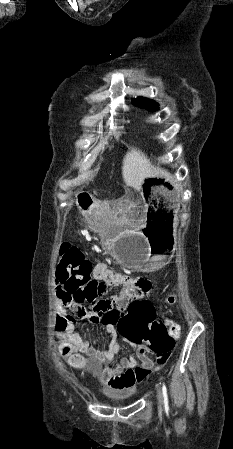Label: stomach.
Listing matches in <instances>:
<instances>
[{
	"label": "stomach",
	"instance_id": "0dacf381",
	"mask_svg": "<svg viewBox=\"0 0 233 449\" xmlns=\"http://www.w3.org/2000/svg\"><path fill=\"white\" fill-rule=\"evenodd\" d=\"M142 196L147 206L145 223L139 212L132 210V201L94 203L92 210L80 206L93 228H102L103 248L120 265L140 272H153L165 266L176 247V202L178 187L171 181L147 178Z\"/></svg>",
	"mask_w": 233,
	"mask_h": 449
}]
</instances>
